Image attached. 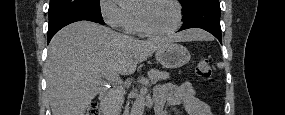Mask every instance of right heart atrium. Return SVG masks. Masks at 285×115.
Returning <instances> with one entry per match:
<instances>
[{"mask_svg": "<svg viewBox=\"0 0 285 115\" xmlns=\"http://www.w3.org/2000/svg\"><path fill=\"white\" fill-rule=\"evenodd\" d=\"M100 10L104 20L112 27L133 31L135 18L121 3L116 0H102Z\"/></svg>", "mask_w": 285, "mask_h": 115, "instance_id": "1", "label": "right heart atrium"}]
</instances>
